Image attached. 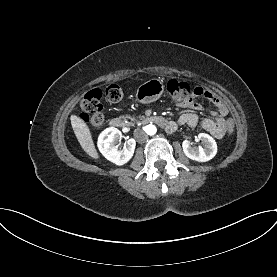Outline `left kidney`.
<instances>
[{
	"mask_svg": "<svg viewBox=\"0 0 277 277\" xmlns=\"http://www.w3.org/2000/svg\"><path fill=\"white\" fill-rule=\"evenodd\" d=\"M198 139L204 144V147H193L188 140L182 143L184 154L191 160L198 162H207L217 154V144L215 140L206 133H200Z\"/></svg>",
	"mask_w": 277,
	"mask_h": 277,
	"instance_id": "left-kidney-1",
	"label": "left kidney"
}]
</instances>
